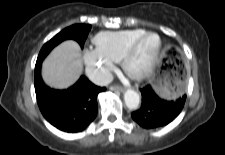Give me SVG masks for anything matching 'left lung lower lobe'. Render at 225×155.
<instances>
[{
  "label": "left lung lower lobe",
  "mask_w": 225,
  "mask_h": 155,
  "mask_svg": "<svg viewBox=\"0 0 225 155\" xmlns=\"http://www.w3.org/2000/svg\"><path fill=\"white\" fill-rule=\"evenodd\" d=\"M142 106L132 113V118L143 128L162 127L173 121L183 109L186 95L174 101L159 98L150 85L141 89Z\"/></svg>",
  "instance_id": "0a47b994"
}]
</instances>
